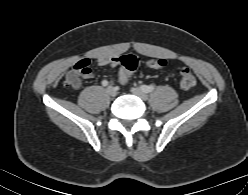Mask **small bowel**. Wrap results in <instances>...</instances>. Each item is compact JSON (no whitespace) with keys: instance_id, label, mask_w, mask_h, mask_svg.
<instances>
[{"instance_id":"small-bowel-1","label":"small bowel","mask_w":248,"mask_h":195,"mask_svg":"<svg viewBox=\"0 0 248 195\" xmlns=\"http://www.w3.org/2000/svg\"><path fill=\"white\" fill-rule=\"evenodd\" d=\"M95 62L99 66L118 67L119 68L118 77H119L120 83L126 84L128 82L129 75L126 73L124 68L121 66L120 57H97L95 59ZM87 70L88 72L85 73L83 76L85 78L93 77L95 73H94V70L91 68V66H88Z\"/></svg>"}]
</instances>
